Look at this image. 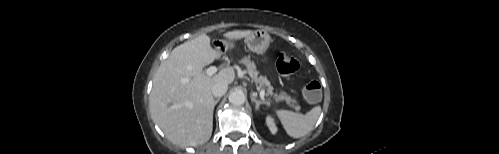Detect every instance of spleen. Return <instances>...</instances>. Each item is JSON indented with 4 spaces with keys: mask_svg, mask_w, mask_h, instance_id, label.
Returning a JSON list of instances; mask_svg holds the SVG:
<instances>
[{
    "mask_svg": "<svg viewBox=\"0 0 499 154\" xmlns=\"http://www.w3.org/2000/svg\"><path fill=\"white\" fill-rule=\"evenodd\" d=\"M320 114V106H315L305 115L283 109L276 111V115L280 119L283 128L292 138H301L307 135L313 129Z\"/></svg>",
    "mask_w": 499,
    "mask_h": 154,
    "instance_id": "3e777b00",
    "label": "spleen"
}]
</instances>
